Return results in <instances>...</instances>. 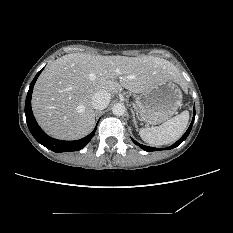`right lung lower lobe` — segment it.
Segmentation results:
<instances>
[{"mask_svg":"<svg viewBox=\"0 0 233 233\" xmlns=\"http://www.w3.org/2000/svg\"><path fill=\"white\" fill-rule=\"evenodd\" d=\"M43 70V69H42ZM39 71L37 73V75L35 76V78L33 79V81L30 84L29 87V91L26 97V103H25V115H26V121H27V125L28 128L31 132V134L33 135V137L43 146H45L46 148L60 153V152H70V151H78L81 150L84 146H86L89 141L92 139V137L95 134L96 128L86 137L80 139V140H76V141H62V140H57L54 138L49 137L37 124L33 112H32V108H31V97H32V91H33V87L34 84L38 78V76L40 75V73L42 72ZM98 124V123H97Z\"/></svg>","mask_w":233,"mask_h":233,"instance_id":"obj_1","label":"right lung lower lobe"}]
</instances>
